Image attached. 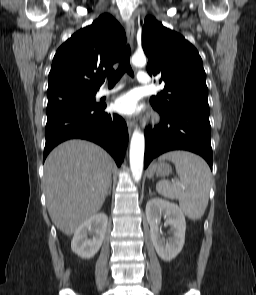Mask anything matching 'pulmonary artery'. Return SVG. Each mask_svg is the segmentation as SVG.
I'll list each match as a JSON object with an SVG mask.
<instances>
[{
	"mask_svg": "<svg viewBox=\"0 0 256 295\" xmlns=\"http://www.w3.org/2000/svg\"><path fill=\"white\" fill-rule=\"evenodd\" d=\"M137 80L139 83L141 84H150L151 80L150 77L148 75V73L144 72V71H139L138 75H137ZM124 85H118L115 88L112 89H107V88H102L99 91L100 95H108L110 93L116 92L117 90L121 89Z\"/></svg>",
	"mask_w": 256,
	"mask_h": 295,
	"instance_id": "pulmonary-artery-1",
	"label": "pulmonary artery"
}]
</instances>
